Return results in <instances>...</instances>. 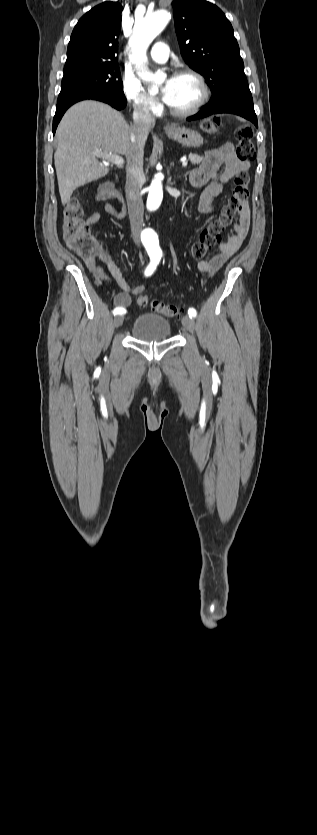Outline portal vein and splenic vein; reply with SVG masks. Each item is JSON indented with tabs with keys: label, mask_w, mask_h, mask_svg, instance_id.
<instances>
[{
	"label": "portal vein and splenic vein",
	"mask_w": 317,
	"mask_h": 835,
	"mask_svg": "<svg viewBox=\"0 0 317 835\" xmlns=\"http://www.w3.org/2000/svg\"><path fill=\"white\" fill-rule=\"evenodd\" d=\"M98 153H99V155L103 156V157H104V158H106L108 161H110V162H112V163H114V164H116V165L122 166V165L124 164V159H123L121 156L117 155V154H112V153H107V154H105V153H104V154H103V153H100V152H98ZM182 166H183V167H187V166H188V162H187V161H184V162L182 163Z\"/></svg>",
	"instance_id": "obj_1"
}]
</instances>
